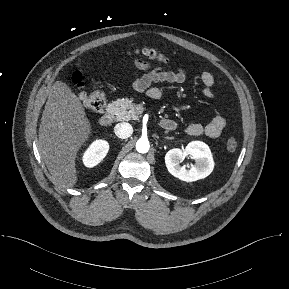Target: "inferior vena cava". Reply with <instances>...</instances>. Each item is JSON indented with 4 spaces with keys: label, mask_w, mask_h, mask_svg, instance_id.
Wrapping results in <instances>:
<instances>
[{
    "label": "inferior vena cava",
    "mask_w": 289,
    "mask_h": 289,
    "mask_svg": "<svg viewBox=\"0 0 289 289\" xmlns=\"http://www.w3.org/2000/svg\"><path fill=\"white\" fill-rule=\"evenodd\" d=\"M114 132H115L117 137H119L121 139H126V138L130 137L131 134L133 133V128L129 123H125V122L118 123L114 127Z\"/></svg>",
    "instance_id": "1"
}]
</instances>
